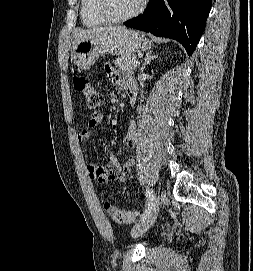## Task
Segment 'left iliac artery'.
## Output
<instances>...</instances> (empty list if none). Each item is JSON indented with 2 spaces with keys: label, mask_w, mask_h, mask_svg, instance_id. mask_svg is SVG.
I'll return each mask as SVG.
<instances>
[{
  "label": "left iliac artery",
  "mask_w": 253,
  "mask_h": 271,
  "mask_svg": "<svg viewBox=\"0 0 253 271\" xmlns=\"http://www.w3.org/2000/svg\"><path fill=\"white\" fill-rule=\"evenodd\" d=\"M146 192H147V196H148L147 203H146V209L142 213L141 217H143L144 215H146L148 213L150 205H151L153 197H154L152 194L153 192L149 188L146 189Z\"/></svg>",
  "instance_id": "obj_1"
}]
</instances>
